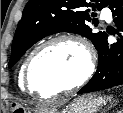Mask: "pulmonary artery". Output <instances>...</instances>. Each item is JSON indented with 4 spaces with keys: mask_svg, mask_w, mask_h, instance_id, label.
Wrapping results in <instances>:
<instances>
[{
    "mask_svg": "<svg viewBox=\"0 0 123 113\" xmlns=\"http://www.w3.org/2000/svg\"><path fill=\"white\" fill-rule=\"evenodd\" d=\"M102 17L106 20V21H111L112 20V14L111 11L109 9H104L101 13Z\"/></svg>",
    "mask_w": 123,
    "mask_h": 113,
    "instance_id": "obj_1",
    "label": "pulmonary artery"
}]
</instances>
